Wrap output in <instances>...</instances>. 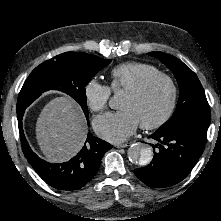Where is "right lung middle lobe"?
Here are the masks:
<instances>
[{"mask_svg":"<svg viewBox=\"0 0 221 221\" xmlns=\"http://www.w3.org/2000/svg\"><path fill=\"white\" fill-rule=\"evenodd\" d=\"M110 62V59L75 52H66L43 62L24 83L18 96L17 114L23 112L43 92L53 89L74 98L82 107L86 118H89L85 87Z\"/></svg>","mask_w":221,"mask_h":221,"instance_id":"1","label":"right lung middle lobe"}]
</instances>
